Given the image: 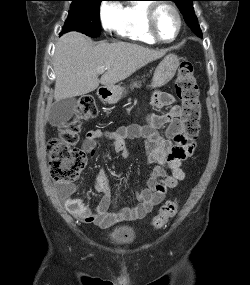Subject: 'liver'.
<instances>
[{
    "instance_id": "6515ba94",
    "label": "liver",
    "mask_w": 250,
    "mask_h": 285,
    "mask_svg": "<svg viewBox=\"0 0 250 285\" xmlns=\"http://www.w3.org/2000/svg\"><path fill=\"white\" fill-rule=\"evenodd\" d=\"M127 42H100L78 32H69L57 40L53 66L56 76L54 99L59 101L88 94L99 84L112 88L136 70L165 55ZM106 69L101 79L98 71Z\"/></svg>"
}]
</instances>
